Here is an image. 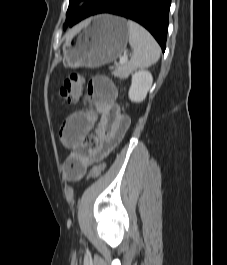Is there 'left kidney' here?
Returning a JSON list of instances; mask_svg holds the SVG:
<instances>
[{"label": "left kidney", "mask_w": 227, "mask_h": 265, "mask_svg": "<svg viewBox=\"0 0 227 265\" xmlns=\"http://www.w3.org/2000/svg\"><path fill=\"white\" fill-rule=\"evenodd\" d=\"M153 77L149 71L139 70L132 74L131 87L129 89V99L132 102H142L151 88Z\"/></svg>", "instance_id": "left-kidney-1"}]
</instances>
